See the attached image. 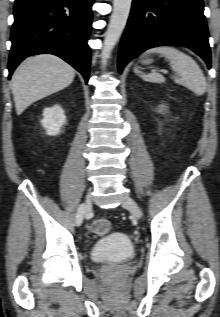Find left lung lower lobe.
Instances as JSON below:
<instances>
[{"label": "left lung lower lobe", "mask_w": 220, "mask_h": 317, "mask_svg": "<svg viewBox=\"0 0 220 317\" xmlns=\"http://www.w3.org/2000/svg\"><path fill=\"white\" fill-rule=\"evenodd\" d=\"M203 0H133L118 59L124 66L144 50L161 45L186 46L211 68Z\"/></svg>", "instance_id": "1"}]
</instances>
